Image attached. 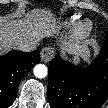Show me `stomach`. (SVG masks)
Segmentation results:
<instances>
[{
  "label": "stomach",
  "mask_w": 108,
  "mask_h": 108,
  "mask_svg": "<svg viewBox=\"0 0 108 108\" xmlns=\"http://www.w3.org/2000/svg\"><path fill=\"white\" fill-rule=\"evenodd\" d=\"M80 57H81V56H79V55H77V54H73V61H74L75 63H79V62H80Z\"/></svg>",
  "instance_id": "obj_1"
}]
</instances>
